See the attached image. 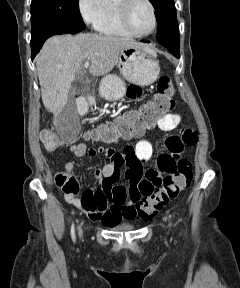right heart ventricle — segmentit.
Wrapping results in <instances>:
<instances>
[{
	"label": "right heart ventricle",
	"instance_id": "obj_1",
	"mask_svg": "<svg viewBox=\"0 0 240 288\" xmlns=\"http://www.w3.org/2000/svg\"><path fill=\"white\" fill-rule=\"evenodd\" d=\"M98 30L109 35L132 36L121 25L116 0L109 2V12L98 26Z\"/></svg>",
	"mask_w": 240,
	"mask_h": 288
}]
</instances>
